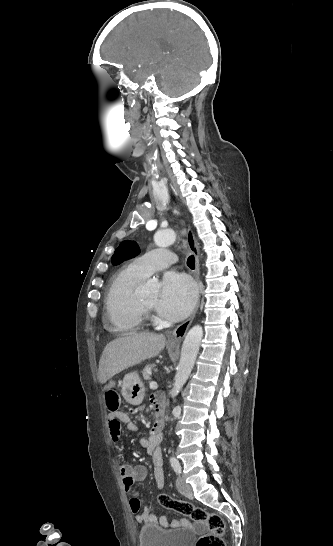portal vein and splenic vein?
I'll use <instances>...</instances> for the list:
<instances>
[{
    "label": "portal vein and splenic vein",
    "instance_id": "portal-vein-and-splenic-vein-1",
    "mask_svg": "<svg viewBox=\"0 0 333 546\" xmlns=\"http://www.w3.org/2000/svg\"><path fill=\"white\" fill-rule=\"evenodd\" d=\"M150 388L151 389H157L158 388L157 383L155 381L150 382Z\"/></svg>",
    "mask_w": 333,
    "mask_h": 546
}]
</instances>
